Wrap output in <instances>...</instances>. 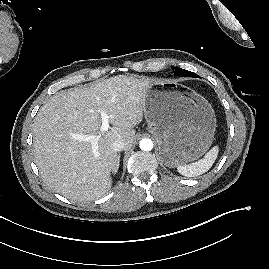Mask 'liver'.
<instances>
[{
	"mask_svg": "<svg viewBox=\"0 0 269 269\" xmlns=\"http://www.w3.org/2000/svg\"><path fill=\"white\" fill-rule=\"evenodd\" d=\"M145 76L118 75L88 87L61 91L38 111L33 124L35 163L45 184L72 201L103 197L112 186L118 155L112 143L129 148L133 129L143 119ZM101 111L110 116V131L101 133ZM100 136L95 157L92 145L74 135Z\"/></svg>",
	"mask_w": 269,
	"mask_h": 269,
	"instance_id": "6515ba94",
	"label": "liver"
}]
</instances>
